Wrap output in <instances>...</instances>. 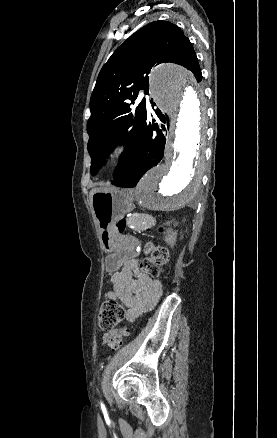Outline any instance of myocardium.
I'll return each instance as SVG.
<instances>
[{
  "label": "myocardium",
  "mask_w": 277,
  "mask_h": 438,
  "mask_svg": "<svg viewBox=\"0 0 277 438\" xmlns=\"http://www.w3.org/2000/svg\"><path fill=\"white\" fill-rule=\"evenodd\" d=\"M128 144L126 141H118L112 145L108 153V159L112 162L120 161L127 152Z\"/></svg>",
  "instance_id": "1"
}]
</instances>
